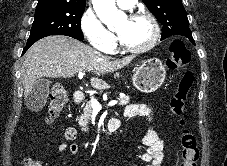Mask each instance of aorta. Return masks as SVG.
Listing matches in <instances>:
<instances>
[{
	"label": "aorta",
	"instance_id": "obj_1",
	"mask_svg": "<svg viewBox=\"0 0 227 166\" xmlns=\"http://www.w3.org/2000/svg\"><path fill=\"white\" fill-rule=\"evenodd\" d=\"M92 3L97 16L108 27L127 18L123 11L117 9L115 0H92Z\"/></svg>",
	"mask_w": 227,
	"mask_h": 166
}]
</instances>
